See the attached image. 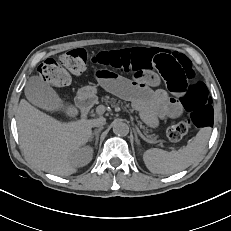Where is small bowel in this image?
<instances>
[{"mask_svg": "<svg viewBox=\"0 0 231 231\" xmlns=\"http://www.w3.org/2000/svg\"><path fill=\"white\" fill-rule=\"evenodd\" d=\"M96 78L103 89L130 100L149 119L154 116L176 118L182 114V107L177 99L169 97L164 90L150 89V85L157 83L154 75H150V79L130 80L108 69H98Z\"/></svg>", "mask_w": 231, "mask_h": 231, "instance_id": "obj_1", "label": "small bowel"}]
</instances>
